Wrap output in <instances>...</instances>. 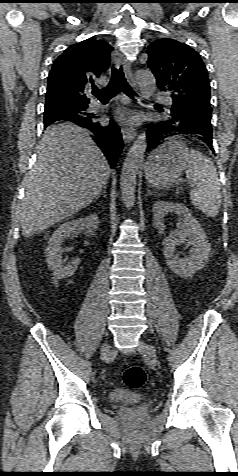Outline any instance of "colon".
Masks as SVG:
<instances>
[{
  "label": "colon",
  "instance_id": "5ec220e1",
  "mask_svg": "<svg viewBox=\"0 0 238 476\" xmlns=\"http://www.w3.org/2000/svg\"><path fill=\"white\" fill-rule=\"evenodd\" d=\"M146 372L142 367L131 366L124 370L122 380L126 386L138 389L146 383Z\"/></svg>",
  "mask_w": 238,
  "mask_h": 476
}]
</instances>
